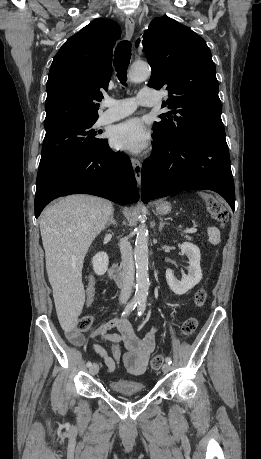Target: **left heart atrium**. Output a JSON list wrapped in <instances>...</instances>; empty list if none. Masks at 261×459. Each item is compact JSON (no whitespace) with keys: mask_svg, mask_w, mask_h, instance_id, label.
<instances>
[{"mask_svg":"<svg viewBox=\"0 0 261 459\" xmlns=\"http://www.w3.org/2000/svg\"><path fill=\"white\" fill-rule=\"evenodd\" d=\"M149 134L143 122L132 118L115 126L111 133L112 145L121 151L140 153L149 144Z\"/></svg>","mask_w":261,"mask_h":459,"instance_id":"obj_1","label":"left heart atrium"}]
</instances>
